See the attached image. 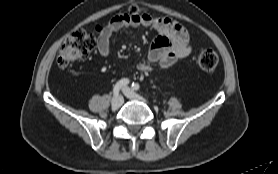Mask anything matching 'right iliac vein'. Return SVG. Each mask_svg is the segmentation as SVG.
<instances>
[{"label":"right iliac vein","instance_id":"63e3f726","mask_svg":"<svg viewBox=\"0 0 278 174\" xmlns=\"http://www.w3.org/2000/svg\"><path fill=\"white\" fill-rule=\"evenodd\" d=\"M124 102V99L122 96L120 95H117V96H114L112 101H111V105L113 108H119Z\"/></svg>","mask_w":278,"mask_h":174}]
</instances>
